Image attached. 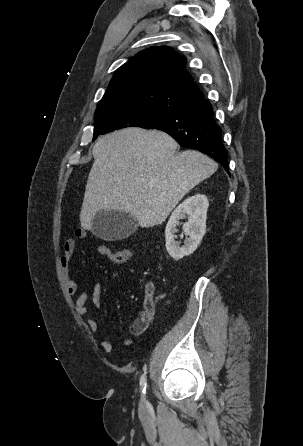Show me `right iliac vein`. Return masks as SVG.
<instances>
[{"mask_svg":"<svg viewBox=\"0 0 303 446\" xmlns=\"http://www.w3.org/2000/svg\"><path fill=\"white\" fill-rule=\"evenodd\" d=\"M146 405H147L146 398L143 397V398L141 399V408H142V410H145V409H146Z\"/></svg>","mask_w":303,"mask_h":446,"instance_id":"63e3f726","label":"right iliac vein"}]
</instances>
